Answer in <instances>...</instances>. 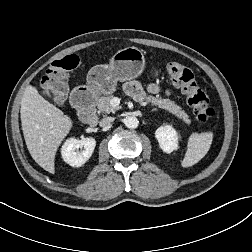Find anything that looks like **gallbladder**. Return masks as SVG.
Listing matches in <instances>:
<instances>
[{"mask_svg":"<svg viewBox=\"0 0 252 252\" xmlns=\"http://www.w3.org/2000/svg\"><path fill=\"white\" fill-rule=\"evenodd\" d=\"M42 93H43V95L50 97V94L47 89H43Z\"/></svg>","mask_w":252,"mask_h":252,"instance_id":"obj_1","label":"gallbladder"}]
</instances>
